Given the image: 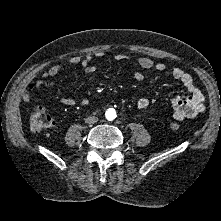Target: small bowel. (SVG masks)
Listing matches in <instances>:
<instances>
[{
	"label": "small bowel",
	"instance_id": "1",
	"mask_svg": "<svg viewBox=\"0 0 221 221\" xmlns=\"http://www.w3.org/2000/svg\"><path fill=\"white\" fill-rule=\"evenodd\" d=\"M104 54L102 52H96L93 55H86L84 57L72 56L69 58L68 63L70 65H80L84 72L93 73L96 71L95 65L92 63L94 58L102 59ZM127 58L121 54L115 55V60L121 61ZM139 66L144 70L156 69L158 71L165 72L168 70L164 63H156L150 57H140L138 59ZM67 69L66 64H56L51 66L40 79L31 82L28 87L23 91L21 98L24 102H30L32 95L35 92L40 91L43 88L53 89L56 87V83L50 78L58 75L60 72ZM171 76L181 83L189 92L188 96L177 97L173 101V115L177 120H183L184 118L193 117L205 110V96L200 88L195 84L193 77L185 70L179 67H173L170 69ZM144 73L142 71H135L134 78L137 81L144 79ZM60 101L67 106H73L76 104L84 105L87 100L76 101L70 97H61ZM137 107L140 111H146L149 108V101L146 98H141L137 101Z\"/></svg>",
	"mask_w": 221,
	"mask_h": 221
}]
</instances>
